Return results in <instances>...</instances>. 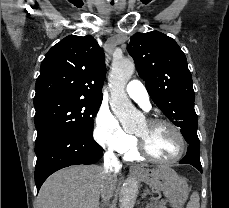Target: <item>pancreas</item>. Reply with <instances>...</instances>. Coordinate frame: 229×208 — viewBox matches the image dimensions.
Returning a JSON list of instances; mask_svg holds the SVG:
<instances>
[{
	"label": "pancreas",
	"instance_id": "pancreas-1",
	"mask_svg": "<svg viewBox=\"0 0 229 208\" xmlns=\"http://www.w3.org/2000/svg\"><path fill=\"white\" fill-rule=\"evenodd\" d=\"M155 198H152L151 204H148L147 208H165L167 202L165 200H161V202H154Z\"/></svg>",
	"mask_w": 229,
	"mask_h": 208
}]
</instances>
